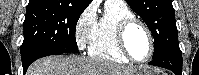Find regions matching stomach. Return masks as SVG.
I'll return each instance as SVG.
<instances>
[{"label":"stomach","instance_id":"1","mask_svg":"<svg viewBox=\"0 0 199 75\" xmlns=\"http://www.w3.org/2000/svg\"><path fill=\"white\" fill-rule=\"evenodd\" d=\"M132 75H157V73L153 68L143 66L136 70Z\"/></svg>","mask_w":199,"mask_h":75}]
</instances>
